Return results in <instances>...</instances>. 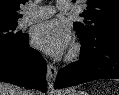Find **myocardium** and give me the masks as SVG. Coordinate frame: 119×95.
I'll return each instance as SVG.
<instances>
[{
    "label": "myocardium",
    "mask_w": 119,
    "mask_h": 95,
    "mask_svg": "<svg viewBox=\"0 0 119 95\" xmlns=\"http://www.w3.org/2000/svg\"><path fill=\"white\" fill-rule=\"evenodd\" d=\"M81 52V45L79 43L74 44L67 55V60L69 62L76 61L81 56Z\"/></svg>",
    "instance_id": "f54148a6"
}]
</instances>
